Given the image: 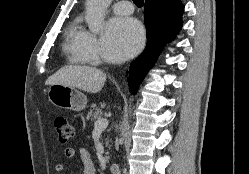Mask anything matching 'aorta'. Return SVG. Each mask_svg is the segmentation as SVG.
Returning <instances> with one entry per match:
<instances>
[{
    "instance_id": "aorta-1",
    "label": "aorta",
    "mask_w": 249,
    "mask_h": 174,
    "mask_svg": "<svg viewBox=\"0 0 249 174\" xmlns=\"http://www.w3.org/2000/svg\"><path fill=\"white\" fill-rule=\"evenodd\" d=\"M112 0H87L86 22L90 31L98 33L103 29L105 11Z\"/></svg>"
}]
</instances>
